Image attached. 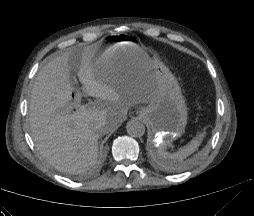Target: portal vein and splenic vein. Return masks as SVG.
<instances>
[{
  "label": "portal vein and splenic vein",
  "mask_w": 254,
  "mask_h": 216,
  "mask_svg": "<svg viewBox=\"0 0 254 216\" xmlns=\"http://www.w3.org/2000/svg\"><path fill=\"white\" fill-rule=\"evenodd\" d=\"M80 106H81V93L78 92L74 102L69 104L68 108L70 109V108L74 107V108L78 109Z\"/></svg>",
  "instance_id": "18ae733b"
}]
</instances>
